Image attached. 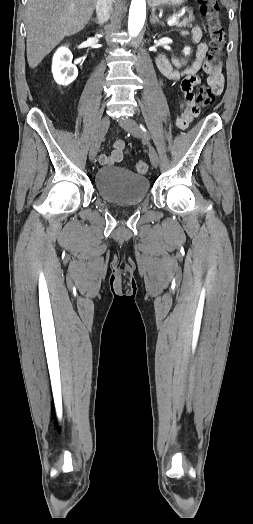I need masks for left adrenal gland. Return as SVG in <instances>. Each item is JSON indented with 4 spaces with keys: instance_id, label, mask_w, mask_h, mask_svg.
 I'll list each match as a JSON object with an SVG mask.
<instances>
[{
    "instance_id": "a2214340",
    "label": "left adrenal gland",
    "mask_w": 253,
    "mask_h": 524,
    "mask_svg": "<svg viewBox=\"0 0 253 524\" xmlns=\"http://www.w3.org/2000/svg\"><path fill=\"white\" fill-rule=\"evenodd\" d=\"M150 23L151 24H159V25H164L160 20L159 18L157 17V15L155 14V11L153 10L152 11V15L150 17Z\"/></svg>"
}]
</instances>
